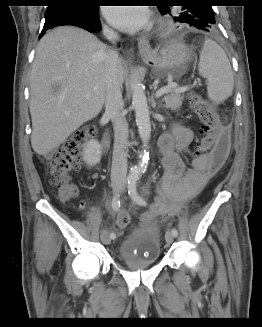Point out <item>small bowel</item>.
<instances>
[{"label": "small bowel", "instance_id": "1", "mask_svg": "<svg viewBox=\"0 0 262 327\" xmlns=\"http://www.w3.org/2000/svg\"><path fill=\"white\" fill-rule=\"evenodd\" d=\"M194 139L191 128L177 124L170 132L160 135L158 144L162 153L164 174L156 188V204L151 212L142 217V224L147 225L158 212H172L174 207L194 198L212 176L207 171V158L202 155L194 158L191 167H187L183 156L190 153ZM79 206L85 209L87 204L80 200Z\"/></svg>", "mask_w": 262, "mask_h": 327}]
</instances>
